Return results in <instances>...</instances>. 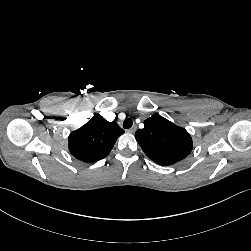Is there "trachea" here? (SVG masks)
Masks as SVG:
<instances>
[{
    "instance_id": "trachea-1",
    "label": "trachea",
    "mask_w": 251,
    "mask_h": 251,
    "mask_svg": "<svg viewBox=\"0 0 251 251\" xmlns=\"http://www.w3.org/2000/svg\"><path fill=\"white\" fill-rule=\"evenodd\" d=\"M133 125V121L130 118H127L124 122H123V127L125 129H129L131 128Z\"/></svg>"
}]
</instances>
